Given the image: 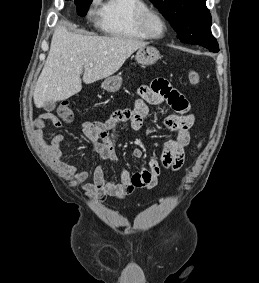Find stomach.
Returning a JSON list of instances; mask_svg holds the SVG:
<instances>
[{
  "instance_id": "1",
  "label": "stomach",
  "mask_w": 259,
  "mask_h": 283,
  "mask_svg": "<svg viewBox=\"0 0 259 283\" xmlns=\"http://www.w3.org/2000/svg\"><path fill=\"white\" fill-rule=\"evenodd\" d=\"M136 61L141 65H152L160 59L159 51L152 46H145L137 50ZM122 85V77L119 75L106 78L101 87L107 92H116Z\"/></svg>"
}]
</instances>
